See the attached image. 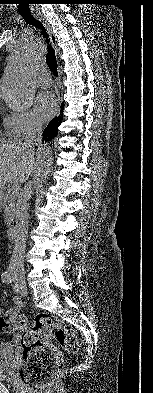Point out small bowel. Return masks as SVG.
Returning <instances> with one entry per match:
<instances>
[{
	"mask_svg": "<svg viewBox=\"0 0 153 393\" xmlns=\"http://www.w3.org/2000/svg\"><path fill=\"white\" fill-rule=\"evenodd\" d=\"M12 305L13 306L11 308H8V309H4V308L0 307V317L5 316V315L6 316H11V315H14V314L18 313L20 308H21V306H22L21 298L18 297V296L13 297ZM3 346H6V345H3Z\"/></svg>",
	"mask_w": 153,
	"mask_h": 393,
	"instance_id": "obj_1",
	"label": "small bowel"
}]
</instances>
